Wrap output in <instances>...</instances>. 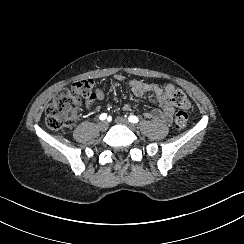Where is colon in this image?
I'll use <instances>...</instances> for the list:
<instances>
[{"instance_id":"obj_1","label":"colon","mask_w":244,"mask_h":244,"mask_svg":"<svg viewBox=\"0 0 244 244\" xmlns=\"http://www.w3.org/2000/svg\"><path fill=\"white\" fill-rule=\"evenodd\" d=\"M93 86L94 83L91 79H83L72 86L63 88L47 107L46 125L55 131H64L74 126L82 102L94 96ZM165 96L173 105L181 109H189L190 107L187 95L171 85L166 86ZM188 119L186 111H178L174 117L175 127L184 129L188 124Z\"/></svg>"}]
</instances>
